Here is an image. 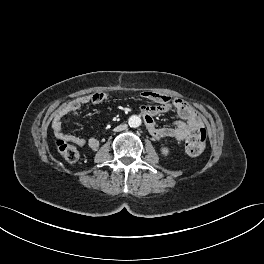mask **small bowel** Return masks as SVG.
Returning <instances> with one entry per match:
<instances>
[{"label": "small bowel", "mask_w": 264, "mask_h": 264, "mask_svg": "<svg viewBox=\"0 0 264 264\" xmlns=\"http://www.w3.org/2000/svg\"><path fill=\"white\" fill-rule=\"evenodd\" d=\"M142 95L144 98L156 103L155 105H145L141 107L144 123L151 136L155 139L174 138L178 141H182L189 138L196 130L202 128L203 124L199 114L183 100H171L167 95L150 91H146ZM106 97L107 95L104 93H96L73 99L61 105L56 111L52 121V128L55 135L60 139L71 141L79 146H88L92 150H97L99 141L96 138L85 139L77 135L65 134L62 128V119L67 114L79 110L83 105L88 103H100L106 99ZM171 106L175 108L180 120L175 121L172 126L159 127L154 117L168 111Z\"/></svg>", "instance_id": "obj_1"}]
</instances>
